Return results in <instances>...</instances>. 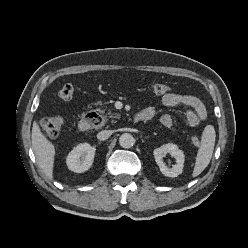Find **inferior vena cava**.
Instances as JSON below:
<instances>
[{
	"instance_id": "inferior-vena-cava-1",
	"label": "inferior vena cava",
	"mask_w": 248,
	"mask_h": 248,
	"mask_svg": "<svg viewBox=\"0 0 248 248\" xmlns=\"http://www.w3.org/2000/svg\"><path fill=\"white\" fill-rule=\"evenodd\" d=\"M111 134H112V131L111 130L100 131L97 134V139L100 140V141H104V140L108 139Z\"/></svg>"
}]
</instances>
